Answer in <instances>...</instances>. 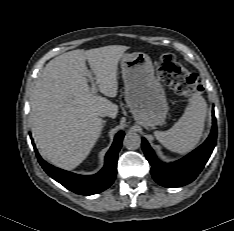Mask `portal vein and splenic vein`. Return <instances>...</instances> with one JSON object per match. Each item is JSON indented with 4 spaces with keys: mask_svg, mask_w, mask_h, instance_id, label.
<instances>
[{
    "mask_svg": "<svg viewBox=\"0 0 234 231\" xmlns=\"http://www.w3.org/2000/svg\"><path fill=\"white\" fill-rule=\"evenodd\" d=\"M88 77H89L90 79H92V75H91V74H89ZM96 92H97L96 84H95L94 82H92L91 93H92V94H96Z\"/></svg>",
    "mask_w": 234,
    "mask_h": 231,
    "instance_id": "portal-vein-and-splenic-vein-1",
    "label": "portal vein and splenic vein"
}]
</instances>
